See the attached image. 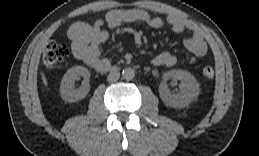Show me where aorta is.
Listing matches in <instances>:
<instances>
[{
    "mask_svg": "<svg viewBox=\"0 0 259 156\" xmlns=\"http://www.w3.org/2000/svg\"><path fill=\"white\" fill-rule=\"evenodd\" d=\"M122 76L125 80H132L135 77V71L132 68H125L122 71Z\"/></svg>",
    "mask_w": 259,
    "mask_h": 156,
    "instance_id": "762f6f07",
    "label": "aorta"
}]
</instances>
